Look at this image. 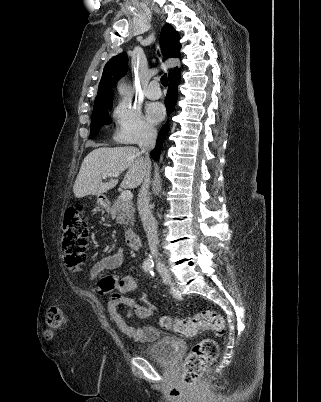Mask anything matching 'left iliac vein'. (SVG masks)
I'll use <instances>...</instances> for the list:
<instances>
[{
  "instance_id": "4c4485c4",
  "label": "left iliac vein",
  "mask_w": 321,
  "mask_h": 402,
  "mask_svg": "<svg viewBox=\"0 0 321 402\" xmlns=\"http://www.w3.org/2000/svg\"><path fill=\"white\" fill-rule=\"evenodd\" d=\"M161 277L164 283H169L171 281V275L168 269H161Z\"/></svg>"
}]
</instances>
